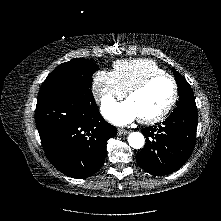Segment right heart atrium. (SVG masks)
<instances>
[{
  "mask_svg": "<svg viewBox=\"0 0 221 221\" xmlns=\"http://www.w3.org/2000/svg\"><path fill=\"white\" fill-rule=\"evenodd\" d=\"M92 89L94 97L99 103L121 98L125 94L113 72L106 70H100L95 74Z\"/></svg>",
  "mask_w": 221,
  "mask_h": 221,
  "instance_id": "d8ad5b80",
  "label": "right heart atrium"
}]
</instances>
